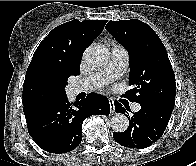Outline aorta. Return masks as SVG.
<instances>
[{"label": "aorta", "mask_w": 196, "mask_h": 166, "mask_svg": "<svg viewBox=\"0 0 196 166\" xmlns=\"http://www.w3.org/2000/svg\"><path fill=\"white\" fill-rule=\"evenodd\" d=\"M84 58L89 65L102 67L108 63L110 52L104 45L93 44L84 52ZM111 126L115 132L121 133L127 130L129 120L124 114L117 113L111 118Z\"/></svg>", "instance_id": "762f6f07"}]
</instances>
